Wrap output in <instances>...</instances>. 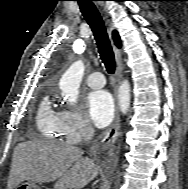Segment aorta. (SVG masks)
Returning <instances> with one entry per match:
<instances>
[{
	"instance_id": "aorta-1",
	"label": "aorta",
	"mask_w": 188,
	"mask_h": 189,
	"mask_svg": "<svg viewBox=\"0 0 188 189\" xmlns=\"http://www.w3.org/2000/svg\"><path fill=\"white\" fill-rule=\"evenodd\" d=\"M84 68V63L77 61L67 69L60 79L59 86L62 96L69 104L76 103L78 99ZM118 99L121 112L126 114L130 106V85L127 80H124L119 87Z\"/></svg>"
}]
</instances>
